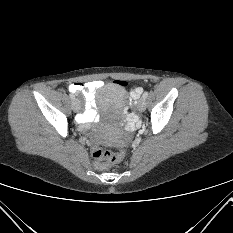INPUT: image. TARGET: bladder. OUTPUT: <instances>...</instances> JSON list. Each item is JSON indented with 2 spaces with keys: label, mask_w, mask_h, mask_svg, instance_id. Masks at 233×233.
I'll return each mask as SVG.
<instances>
[{
  "label": "bladder",
  "mask_w": 233,
  "mask_h": 233,
  "mask_svg": "<svg viewBox=\"0 0 233 233\" xmlns=\"http://www.w3.org/2000/svg\"><path fill=\"white\" fill-rule=\"evenodd\" d=\"M98 107L106 114L120 117L127 102V91L119 83H110L101 88L96 97ZM105 144H114L118 139L113 136L100 137Z\"/></svg>",
  "instance_id": "bladder-1"
}]
</instances>
